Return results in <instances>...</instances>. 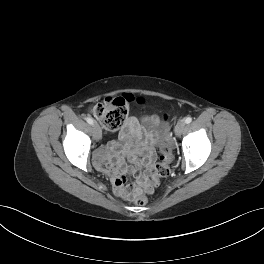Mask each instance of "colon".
<instances>
[{"label":"colon","instance_id":"5ec220e1","mask_svg":"<svg viewBox=\"0 0 264 264\" xmlns=\"http://www.w3.org/2000/svg\"><path fill=\"white\" fill-rule=\"evenodd\" d=\"M132 104H142L140 98H135L131 94H123L116 98H110L103 103L94 104L90 107V114L100 121L102 126L108 131L120 129L130 110ZM173 159L172 151L167 146L159 148V162L155 167V179L166 177L170 173L169 164ZM153 192V186L146 184L145 177H139L133 183L125 180L119 191V195L126 199H131L138 206H145L148 203L146 193Z\"/></svg>","mask_w":264,"mask_h":264}]
</instances>
